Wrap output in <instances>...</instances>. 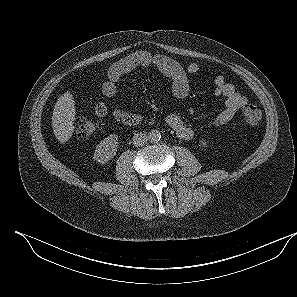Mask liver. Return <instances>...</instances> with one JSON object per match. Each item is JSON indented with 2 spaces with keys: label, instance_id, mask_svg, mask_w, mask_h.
<instances>
[{
  "label": "liver",
  "instance_id": "obj_1",
  "mask_svg": "<svg viewBox=\"0 0 297 297\" xmlns=\"http://www.w3.org/2000/svg\"><path fill=\"white\" fill-rule=\"evenodd\" d=\"M75 116V101L73 95L67 91L58 98L52 116L53 132L60 143H65L72 137Z\"/></svg>",
  "mask_w": 297,
  "mask_h": 297
}]
</instances>
